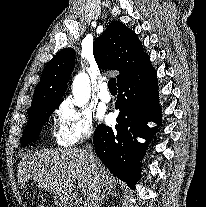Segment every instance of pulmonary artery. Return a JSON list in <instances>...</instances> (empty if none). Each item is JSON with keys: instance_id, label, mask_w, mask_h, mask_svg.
<instances>
[{"instance_id": "e3ab8cb5", "label": "pulmonary artery", "mask_w": 206, "mask_h": 207, "mask_svg": "<svg viewBox=\"0 0 206 207\" xmlns=\"http://www.w3.org/2000/svg\"><path fill=\"white\" fill-rule=\"evenodd\" d=\"M99 98L102 102H105V103H108V102L111 101L112 96H111V93L108 90L107 83H103L101 85V89H100V92H99Z\"/></svg>"}]
</instances>
